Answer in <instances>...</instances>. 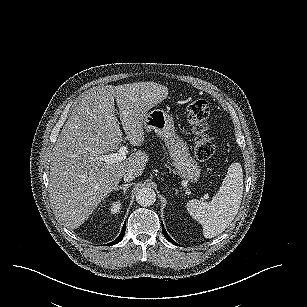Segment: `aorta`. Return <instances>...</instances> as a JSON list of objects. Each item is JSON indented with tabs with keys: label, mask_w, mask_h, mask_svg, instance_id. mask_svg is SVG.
I'll use <instances>...</instances> for the list:
<instances>
[{
	"label": "aorta",
	"mask_w": 307,
	"mask_h": 307,
	"mask_svg": "<svg viewBox=\"0 0 307 307\" xmlns=\"http://www.w3.org/2000/svg\"><path fill=\"white\" fill-rule=\"evenodd\" d=\"M137 203L141 206L148 207L154 204L156 201V193L150 187H144L139 189L136 194Z\"/></svg>",
	"instance_id": "obj_1"
}]
</instances>
